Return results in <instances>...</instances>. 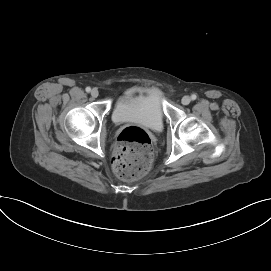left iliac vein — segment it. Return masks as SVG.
Listing matches in <instances>:
<instances>
[{"instance_id":"left-iliac-vein-1","label":"left iliac vein","mask_w":271,"mask_h":271,"mask_svg":"<svg viewBox=\"0 0 271 271\" xmlns=\"http://www.w3.org/2000/svg\"><path fill=\"white\" fill-rule=\"evenodd\" d=\"M181 101L183 105H188L191 102V98L189 96H184Z\"/></svg>"}]
</instances>
